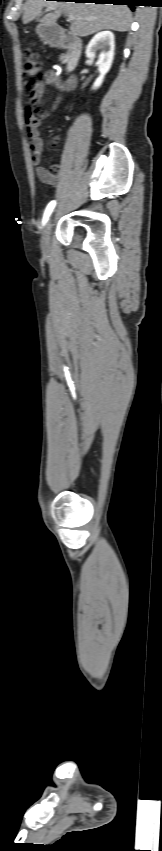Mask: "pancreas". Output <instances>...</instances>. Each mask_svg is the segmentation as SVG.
I'll list each match as a JSON object with an SVG mask.
<instances>
[{
	"label": "pancreas",
	"mask_w": 162,
	"mask_h": 851,
	"mask_svg": "<svg viewBox=\"0 0 162 851\" xmlns=\"http://www.w3.org/2000/svg\"><path fill=\"white\" fill-rule=\"evenodd\" d=\"M61 61H62V62H65V57H62V58H61Z\"/></svg>",
	"instance_id": "pancreas-1"
}]
</instances>
